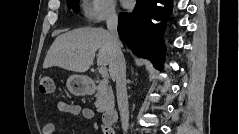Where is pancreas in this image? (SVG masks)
Returning a JSON list of instances; mask_svg holds the SVG:
<instances>
[{"mask_svg": "<svg viewBox=\"0 0 239 134\" xmlns=\"http://www.w3.org/2000/svg\"><path fill=\"white\" fill-rule=\"evenodd\" d=\"M114 104V95L111 87L106 82H101L97 86L95 106L98 112H104L109 106Z\"/></svg>", "mask_w": 239, "mask_h": 134, "instance_id": "1", "label": "pancreas"}]
</instances>
